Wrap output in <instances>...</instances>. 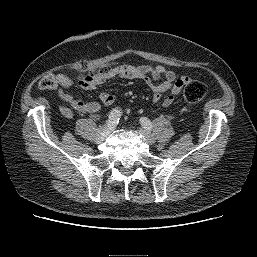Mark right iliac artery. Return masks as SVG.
Wrapping results in <instances>:
<instances>
[{
    "label": "right iliac artery",
    "instance_id": "right-iliac-artery-1",
    "mask_svg": "<svg viewBox=\"0 0 257 257\" xmlns=\"http://www.w3.org/2000/svg\"><path fill=\"white\" fill-rule=\"evenodd\" d=\"M121 116V112L118 109H113L109 115V118L107 120V126L111 129L116 126V124L119 122Z\"/></svg>",
    "mask_w": 257,
    "mask_h": 257
}]
</instances>
